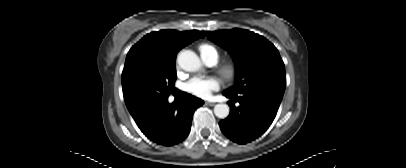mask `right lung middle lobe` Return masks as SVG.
<instances>
[{
    "label": "right lung middle lobe",
    "instance_id": "right-lung-middle-lobe-1",
    "mask_svg": "<svg viewBox=\"0 0 406 168\" xmlns=\"http://www.w3.org/2000/svg\"><path fill=\"white\" fill-rule=\"evenodd\" d=\"M175 63L134 58L122 72L124 100L130 113L155 104L174 91Z\"/></svg>",
    "mask_w": 406,
    "mask_h": 168
}]
</instances>
